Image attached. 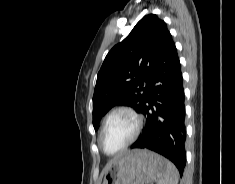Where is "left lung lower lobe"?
I'll use <instances>...</instances> for the list:
<instances>
[{
	"label": "left lung lower lobe",
	"mask_w": 235,
	"mask_h": 184,
	"mask_svg": "<svg viewBox=\"0 0 235 184\" xmlns=\"http://www.w3.org/2000/svg\"><path fill=\"white\" fill-rule=\"evenodd\" d=\"M184 92L181 65L169 34L154 68L141 113L146 127L131 148H146L172 161L182 176L185 167Z\"/></svg>",
	"instance_id": "obj_1"
}]
</instances>
